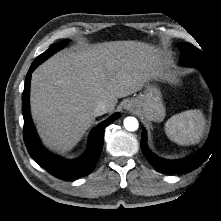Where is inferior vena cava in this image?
<instances>
[{
	"instance_id": "602c4592",
	"label": "inferior vena cava",
	"mask_w": 221,
	"mask_h": 221,
	"mask_svg": "<svg viewBox=\"0 0 221 221\" xmlns=\"http://www.w3.org/2000/svg\"><path fill=\"white\" fill-rule=\"evenodd\" d=\"M109 111V104L100 102L94 109L93 114L95 116H101Z\"/></svg>"
}]
</instances>
